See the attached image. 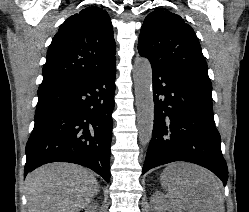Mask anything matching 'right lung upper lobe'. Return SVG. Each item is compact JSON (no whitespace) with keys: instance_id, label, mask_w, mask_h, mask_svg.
I'll return each instance as SVG.
<instances>
[{"instance_id":"obj_1","label":"right lung upper lobe","mask_w":249,"mask_h":212,"mask_svg":"<svg viewBox=\"0 0 249 212\" xmlns=\"http://www.w3.org/2000/svg\"><path fill=\"white\" fill-rule=\"evenodd\" d=\"M108 13L87 7L60 26L48 48L38 93L93 77L116 62Z\"/></svg>"}]
</instances>
